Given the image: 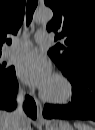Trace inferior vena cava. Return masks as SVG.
<instances>
[{"mask_svg":"<svg viewBox=\"0 0 95 130\" xmlns=\"http://www.w3.org/2000/svg\"><path fill=\"white\" fill-rule=\"evenodd\" d=\"M25 91L23 88L18 90V94L16 97L17 108L11 113L13 120V130H22L21 124L24 118L26 117L22 105L24 101Z\"/></svg>","mask_w":95,"mask_h":130,"instance_id":"602c4592","label":"inferior vena cava"}]
</instances>
